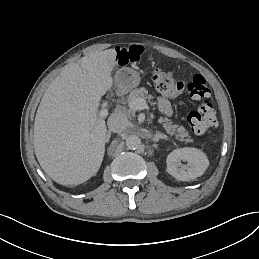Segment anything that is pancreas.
I'll list each match as a JSON object with an SVG mask.
<instances>
[{"label":"pancreas","instance_id":"pancreas-1","mask_svg":"<svg viewBox=\"0 0 259 259\" xmlns=\"http://www.w3.org/2000/svg\"><path fill=\"white\" fill-rule=\"evenodd\" d=\"M136 98L148 99V101L150 102V100L153 99V96L148 95V91L144 87H142V88L134 89L129 94L127 101L128 103H130ZM150 104L154 105L155 103L150 102ZM158 121L159 123H163V128L166 130V132L170 135H175L176 139H179L180 141H185V142L192 141V139L190 138L184 139L185 137H189V133L185 130L183 126L172 124L173 122L167 117H160Z\"/></svg>","mask_w":259,"mask_h":259}]
</instances>
